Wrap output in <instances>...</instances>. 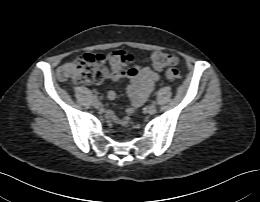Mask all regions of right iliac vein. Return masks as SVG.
<instances>
[{
    "mask_svg": "<svg viewBox=\"0 0 260 202\" xmlns=\"http://www.w3.org/2000/svg\"><path fill=\"white\" fill-rule=\"evenodd\" d=\"M93 106H94L95 108H99V107L101 106V103H100L98 100H94V101H93Z\"/></svg>",
    "mask_w": 260,
    "mask_h": 202,
    "instance_id": "obj_1",
    "label": "right iliac vein"
}]
</instances>
